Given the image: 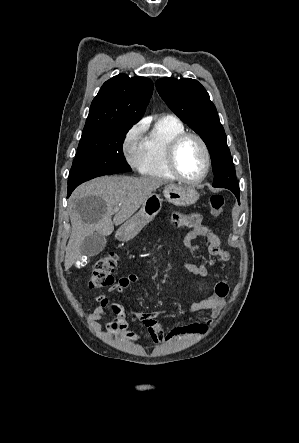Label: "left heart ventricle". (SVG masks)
Masks as SVG:
<instances>
[{"label":"left heart ventricle","mask_w":299,"mask_h":443,"mask_svg":"<svg viewBox=\"0 0 299 443\" xmlns=\"http://www.w3.org/2000/svg\"><path fill=\"white\" fill-rule=\"evenodd\" d=\"M178 166L188 178L199 177L204 171L205 158L201 145L194 138L185 140L177 154Z\"/></svg>","instance_id":"1"}]
</instances>
